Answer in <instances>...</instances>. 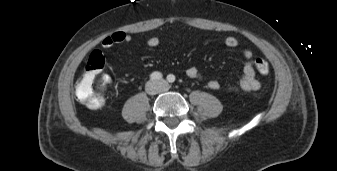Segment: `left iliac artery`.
I'll return each mask as SVG.
<instances>
[{"label":"left iliac artery","mask_w":337,"mask_h":171,"mask_svg":"<svg viewBox=\"0 0 337 171\" xmlns=\"http://www.w3.org/2000/svg\"><path fill=\"white\" fill-rule=\"evenodd\" d=\"M167 81H168L169 83H173V82L175 81V76H174L173 74H169V75L167 76Z\"/></svg>","instance_id":"obj_1"}]
</instances>
